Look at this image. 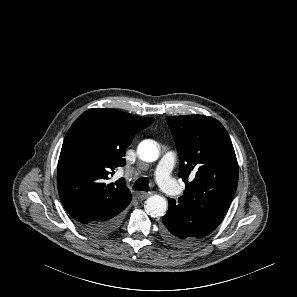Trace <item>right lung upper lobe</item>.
Listing matches in <instances>:
<instances>
[{"instance_id":"obj_1","label":"right lung upper lobe","mask_w":297,"mask_h":297,"mask_svg":"<svg viewBox=\"0 0 297 297\" xmlns=\"http://www.w3.org/2000/svg\"><path fill=\"white\" fill-rule=\"evenodd\" d=\"M111 108L81 114L68 130L57 167V186L67 212L79 225L124 210L131 201L125 182L107 183L125 165L134 135L154 122Z\"/></svg>"}]
</instances>
